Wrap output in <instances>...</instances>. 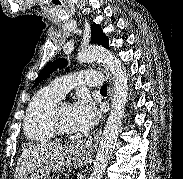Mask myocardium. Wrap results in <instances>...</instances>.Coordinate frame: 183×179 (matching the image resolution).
<instances>
[{"mask_svg": "<svg viewBox=\"0 0 183 179\" xmlns=\"http://www.w3.org/2000/svg\"><path fill=\"white\" fill-rule=\"evenodd\" d=\"M64 102H58L52 109L50 116V124L55 134L61 136H69L72 132L63 129L59 123V108Z\"/></svg>", "mask_w": 183, "mask_h": 179, "instance_id": "myocardium-1", "label": "myocardium"}]
</instances>
